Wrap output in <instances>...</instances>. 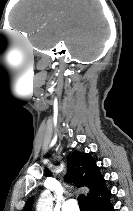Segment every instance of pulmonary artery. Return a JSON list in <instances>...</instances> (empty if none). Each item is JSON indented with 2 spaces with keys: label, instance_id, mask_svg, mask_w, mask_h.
I'll return each mask as SVG.
<instances>
[{
  "label": "pulmonary artery",
  "instance_id": "obj_1",
  "mask_svg": "<svg viewBox=\"0 0 133 211\" xmlns=\"http://www.w3.org/2000/svg\"><path fill=\"white\" fill-rule=\"evenodd\" d=\"M62 211H79L76 200L68 199L62 205Z\"/></svg>",
  "mask_w": 133,
  "mask_h": 211
}]
</instances>
